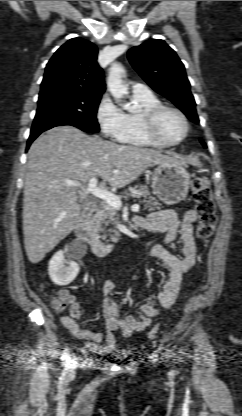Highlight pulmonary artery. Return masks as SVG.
<instances>
[{
    "label": "pulmonary artery",
    "instance_id": "e3ab8cb5",
    "mask_svg": "<svg viewBox=\"0 0 242 416\" xmlns=\"http://www.w3.org/2000/svg\"><path fill=\"white\" fill-rule=\"evenodd\" d=\"M132 92L133 93H147L149 92V88L147 85L142 83H135L132 85Z\"/></svg>",
    "mask_w": 242,
    "mask_h": 416
}]
</instances>
